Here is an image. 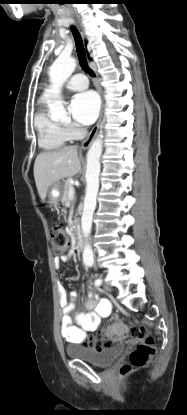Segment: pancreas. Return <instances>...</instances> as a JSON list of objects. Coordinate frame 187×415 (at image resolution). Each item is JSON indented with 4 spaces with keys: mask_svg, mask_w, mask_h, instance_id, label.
Masks as SVG:
<instances>
[{
    "mask_svg": "<svg viewBox=\"0 0 187 415\" xmlns=\"http://www.w3.org/2000/svg\"><path fill=\"white\" fill-rule=\"evenodd\" d=\"M71 187H72V184L70 182V179H67L64 184V191H63V195L61 199L63 206H67L69 203V190Z\"/></svg>",
    "mask_w": 187,
    "mask_h": 415,
    "instance_id": "pancreas-1",
    "label": "pancreas"
}]
</instances>
